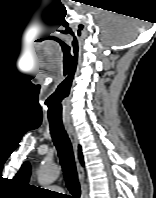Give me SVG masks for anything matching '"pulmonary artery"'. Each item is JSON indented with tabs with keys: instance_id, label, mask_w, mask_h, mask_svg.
Returning <instances> with one entry per match:
<instances>
[{
	"instance_id": "pulmonary-artery-1",
	"label": "pulmonary artery",
	"mask_w": 156,
	"mask_h": 198,
	"mask_svg": "<svg viewBox=\"0 0 156 198\" xmlns=\"http://www.w3.org/2000/svg\"><path fill=\"white\" fill-rule=\"evenodd\" d=\"M51 189L55 191H61V188L59 186H53Z\"/></svg>"
}]
</instances>
